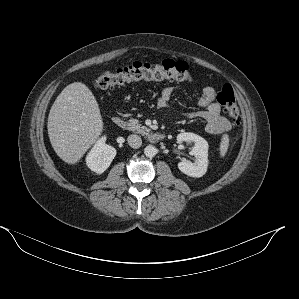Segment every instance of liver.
<instances>
[{
	"label": "liver",
	"instance_id": "liver-1",
	"mask_svg": "<svg viewBox=\"0 0 299 299\" xmlns=\"http://www.w3.org/2000/svg\"><path fill=\"white\" fill-rule=\"evenodd\" d=\"M47 128L56 154L68 164L79 162L103 131L91 90L81 82L66 86L51 107Z\"/></svg>",
	"mask_w": 299,
	"mask_h": 299
}]
</instances>
